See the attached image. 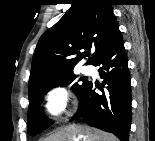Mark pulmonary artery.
I'll return each instance as SVG.
<instances>
[{"label": "pulmonary artery", "instance_id": "1", "mask_svg": "<svg viewBox=\"0 0 155 141\" xmlns=\"http://www.w3.org/2000/svg\"><path fill=\"white\" fill-rule=\"evenodd\" d=\"M82 72H83L84 74H91V73L93 72V69H92L91 67H89V66H84V67L82 68Z\"/></svg>", "mask_w": 155, "mask_h": 141}]
</instances>
